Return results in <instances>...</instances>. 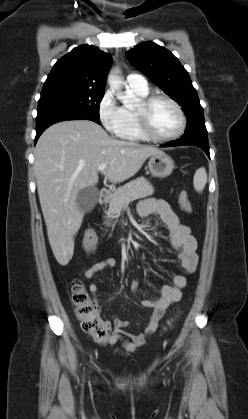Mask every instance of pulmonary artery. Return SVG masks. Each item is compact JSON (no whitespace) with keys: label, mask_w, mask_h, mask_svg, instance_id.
I'll use <instances>...</instances> for the list:
<instances>
[{"label":"pulmonary artery","mask_w":248,"mask_h":419,"mask_svg":"<svg viewBox=\"0 0 248 419\" xmlns=\"http://www.w3.org/2000/svg\"><path fill=\"white\" fill-rule=\"evenodd\" d=\"M126 83L128 87L132 89H136L140 91H145L148 89L146 79L140 74H136V73L129 74L126 77Z\"/></svg>","instance_id":"e3ab8cb5"}]
</instances>
